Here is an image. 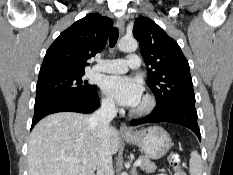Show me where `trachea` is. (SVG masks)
<instances>
[{
  "label": "trachea",
  "mask_w": 233,
  "mask_h": 175,
  "mask_svg": "<svg viewBox=\"0 0 233 175\" xmlns=\"http://www.w3.org/2000/svg\"><path fill=\"white\" fill-rule=\"evenodd\" d=\"M119 38V31L116 27H114L109 35V45L111 48H113Z\"/></svg>",
  "instance_id": "3493384b"
}]
</instances>
